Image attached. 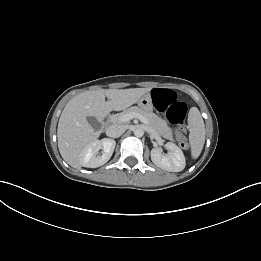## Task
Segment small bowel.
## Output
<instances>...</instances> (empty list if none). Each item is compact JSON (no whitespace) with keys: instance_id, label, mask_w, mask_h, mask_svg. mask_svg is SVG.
Returning <instances> with one entry per match:
<instances>
[{"instance_id":"c3829d8e","label":"small bowel","mask_w":261,"mask_h":261,"mask_svg":"<svg viewBox=\"0 0 261 261\" xmlns=\"http://www.w3.org/2000/svg\"><path fill=\"white\" fill-rule=\"evenodd\" d=\"M176 138L179 139L180 138V135L178 133H176Z\"/></svg>"}]
</instances>
